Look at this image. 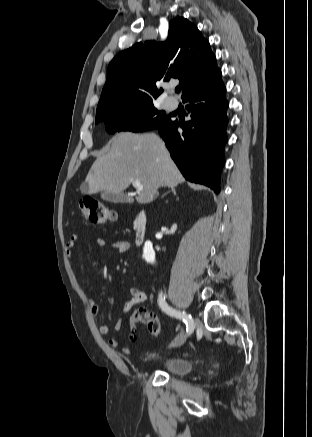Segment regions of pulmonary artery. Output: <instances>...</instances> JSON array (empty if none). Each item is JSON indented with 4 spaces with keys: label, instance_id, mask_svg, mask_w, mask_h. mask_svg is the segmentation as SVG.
<instances>
[{
    "label": "pulmonary artery",
    "instance_id": "e3ab8cb5",
    "mask_svg": "<svg viewBox=\"0 0 312 437\" xmlns=\"http://www.w3.org/2000/svg\"><path fill=\"white\" fill-rule=\"evenodd\" d=\"M165 105L168 109L173 110L177 107V102L173 99H168L166 100Z\"/></svg>",
    "mask_w": 312,
    "mask_h": 437
}]
</instances>
